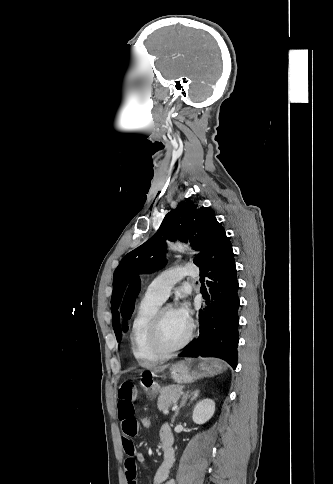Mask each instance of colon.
I'll return each instance as SVG.
<instances>
[{
	"instance_id": "1",
	"label": "colon",
	"mask_w": 333,
	"mask_h": 484,
	"mask_svg": "<svg viewBox=\"0 0 333 484\" xmlns=\"http://www.w3.org/2000/svg\"><path fill=\"white\" fill-rule=\"evenodd\" d=\"M152 419L149 415H141L138 418V425L141 430H146L151 427Z\"/></svg>"
}]
</instances>
